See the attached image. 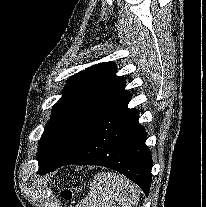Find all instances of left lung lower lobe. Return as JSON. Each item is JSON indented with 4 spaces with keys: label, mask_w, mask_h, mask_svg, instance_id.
<instances>
[{
    "label": "left lung lower lobe",
    "mask_w": 206,
    "mask_h": 207,
    "mask_svg": "<svg viewBox=\"0 0 206 207\" xmlns=\"http://www.w3.org/2000/svg\"><path fill=\"white\" fill-rule=\"evenodd\" d=\"M130 100L126 92L95 123L77 151L49 166L47 172L67 164L101 165L121 172L148 195L152 157L145 145L146 132L138 123V111L127 107ZM38 173H42L40 169Z\"/></svg>",
    "instance_id": "left-lung-lower-lobe-1"
}]
</instances>
